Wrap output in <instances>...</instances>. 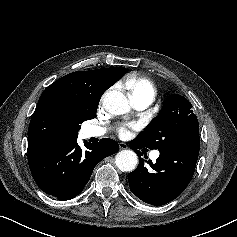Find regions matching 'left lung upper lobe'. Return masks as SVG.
Here are the masks:
<instances>
[{"label": "left lung upper lobe", "instance_id": "5c2ea615", "mask_svg": "<svg viewBox=\"0 0 237 237\" xmlns=\"http://www.w3.org/2000/svg\"><path fill=\"white\" fill-rule=\"evenodd\" d=\"M195 131H199V124L191 103L173 94L136 140L149 149L170 150L179 147Z\"/></svg>", "mask_w": 237, "mask_h": 237}]
</instances>
